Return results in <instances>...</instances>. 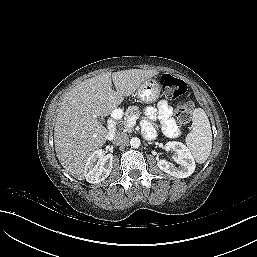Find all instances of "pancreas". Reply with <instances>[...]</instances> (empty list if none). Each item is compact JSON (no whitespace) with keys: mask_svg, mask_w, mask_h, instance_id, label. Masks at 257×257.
<instances>
[{"mask_svg":"<svg viewBox=\"0 0 257 257\" xmlns=\"http://www.w3.org/2000/svg\"><path fill=\"white\" fill-rule=\"evenodd\" d=\"M141 114L139 107L137 106H129L124 113V121H123V132L131 133L133 131L132 127L128 126L127 120L131 116H139Z\"/></svg>","mask_w":257,"mask_h":257,"instance_id":"obj_1","label":"pancreas"}]
</instances>
